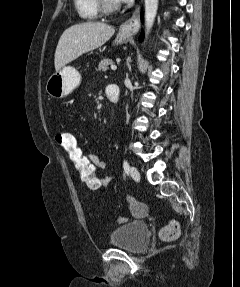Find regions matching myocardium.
Wrapping results in <instances>:
<instances>
[{"label":"myocardium","instance_id":"obj_1","mask_svg":"<svg viewBox=\"0 0 240 287\" xmlns=\"http://www.w3.org/2000/svg\"><path fill=\"white\" fill-rule=\"evenodd\" d=\"M99 9L104 13H112L119 8V4L116 1L110 0H97Z\"/></svg>","mask_w":240,"mask_h":287}]
</instances>
